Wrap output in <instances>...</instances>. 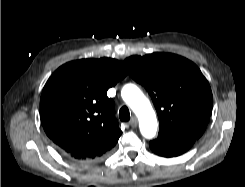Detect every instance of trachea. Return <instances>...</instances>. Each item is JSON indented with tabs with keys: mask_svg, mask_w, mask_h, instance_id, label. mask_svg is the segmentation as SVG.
Returning a JSON list of instances; mask_svg holds the SVG:
<instances>
[{
	"mask_svg": "<svg viewBox=\"0 0 245 187\" xmlns=\"http://www.w3.org/2000/svg\"><path fill=\"white\" fill-rule=\"evenodd\" d=\"M119 118L123 122H126V121L130 120V112H129V109L126 106H123L119 110Z\"/></svg>",
	"mask_w": 245,
	"mask_h": 187,
	"instance_id": "1",
	"label": "trachea"
}]
</instances>
